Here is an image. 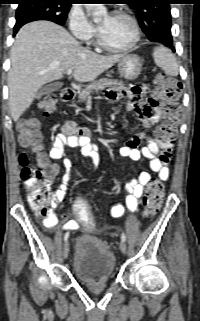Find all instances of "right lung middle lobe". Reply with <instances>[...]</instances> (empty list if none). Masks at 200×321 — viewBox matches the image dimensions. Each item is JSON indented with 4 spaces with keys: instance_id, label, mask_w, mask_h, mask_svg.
Listing matches in <instances>:
<instances>
[{
    "instance_id": "right-lung-middle-lobe-1",
    "label": "right lung middle lobe",
    "mask_w": 200,
    "mask_h": 321,
    "mask_svg": "<svg viewBox=\"0 0 200 321\" xmlns=\"http://www.w3.org/2000/svg\"><path fill=\"white\" fill-rule=\"evenodd\" d=\"M71 2L62 0H24L20 1L16 10V23L31 17H42L44 20L64 25Z\"/></svg>"
}]
</instances>
